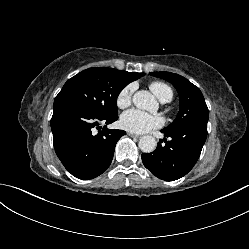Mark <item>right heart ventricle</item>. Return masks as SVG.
Returning a JSON list of instances; mask_svg holds the SVG:
<instances>
[{
  "mask_svg": "<svg viewBox=\"0 0 249 249\" xmlns=\"http://www.w3.org/2000/svg\"><path fill=\"white\" fill-rule=\"evenodd\" d=\"M149 88L160 101L167 100L169 102L172 100L173 90L168 84L154 81L150 83Z\"/></svg>",
  "mask_w": 249,
  "mask_h": 249,
  "instance_id": "1",
  "label": "right heart ventricle"
}]
</instances>
